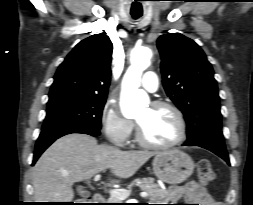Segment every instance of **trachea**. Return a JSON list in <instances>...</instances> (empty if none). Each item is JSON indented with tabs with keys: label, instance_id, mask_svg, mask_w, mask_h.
I'll list each match as a JSON object with an SVG mask.
<instances>
[{
	"label": "trachea",
	"instance_id": "obj_1",
	"mask_svg": "<svg viewBox=\"0 0 253 205\" xmlns=\"http://www.w3.org/2000/svg\"><path fill=\"white\" fill-rule=\"evenodd\" d=\"M131 16H132L134 19H138L139 17L142 16V14L131 13Z\"/></svg>",
	"mask_w": 253,
	"mask_h": 205
}]
</instances>
